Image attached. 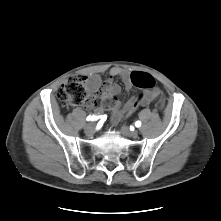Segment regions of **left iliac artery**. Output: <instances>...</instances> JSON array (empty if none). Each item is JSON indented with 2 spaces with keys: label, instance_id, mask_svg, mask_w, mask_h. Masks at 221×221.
Here are the masks:
<instances>
[{
  "label": "left iliac artery",
  "instance_id": "1",
  "mask_svg": "<svg viewBox=\"0 0 221 221\" xmlns=\"http://www.w3.org/2000/svg\"><path fill=\"white\" fill-rule=\"evenodd\" d=\"M135 126L136 127H140L141 126V122L140 121H136Z\"/></svg>",
  "mask_w": 221,
  "mask_h": 221
}]
</instances>
